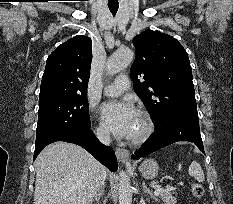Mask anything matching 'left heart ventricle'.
<instances>
[{"label": "left heart ventricle", "mask_w": 233, "mask_h": 204, "mask_svg": "<svg viewBox=\"0 0 233 204\" xmlns=\"http://www.w3.org/2000/svg\"><path fill=\"white\" fill-rule=\"evenodd\" d=\"M142 120L141 117L137 114L134 120V124H133V129H132V136L134 137L136 135H138L141 130H142Z\"/></svg>", "instance_id": "obj_1"}]
</instances>
